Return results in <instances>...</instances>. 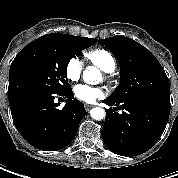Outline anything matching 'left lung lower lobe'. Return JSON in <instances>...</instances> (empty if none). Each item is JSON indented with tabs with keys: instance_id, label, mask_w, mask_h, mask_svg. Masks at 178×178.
Returning <instances> with one entry per match:
<instances>
[{
	"instance_id": "obj_1",
	"label": "left lung lower lobe",
	"mask_w": 178,
	"mask_h": 178,
	"mask_svg": "<svg viewBox=\"0 0 178 178\" xmlns=\"http://www.w3.org/2000/svg\"><path fill=\"white\" fill-rule=\"evenodd\" d=\"M114 110H106L103 136L107 147L121 156H136L148 151L161 137L169 119L170 108L135 98L124 102L103 101Z\"/></svg>"
}]
</instances>
